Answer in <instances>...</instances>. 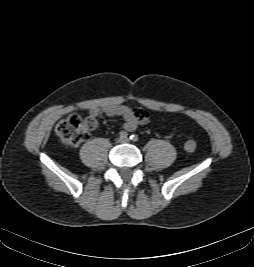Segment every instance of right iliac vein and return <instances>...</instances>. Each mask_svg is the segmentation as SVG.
<instances>
[{
	"label": "right iliac vein",
	"mask_w": 254,
	"mask_h": 267,
	"mask_svg": "<svg viewBox=\"0 0 254 267\" xmlns=\"http://www.w3.org/2000/svg\"><path fill=\"white\" fill-rule=\"evenodd\" d=\"M117 142H118V143H121V142H122V138H119V139L117 140Z\"/></svg>",
	"instance_id": "obj_1"
}]
</instances>
